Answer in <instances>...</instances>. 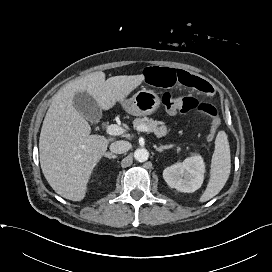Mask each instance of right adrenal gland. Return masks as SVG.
I'll return each instance as SVG.
<instances>
[{"label":"right adrenal gland","mask_w":272,"mask_h":272,"mask_svg":"<svg viewBox=\"0 0 272 272\" xmlns=\"http://www.w3.org/2000/svg\"><path fill=\"white\" fill-rule=\"evenodd\" d=\"M104 156L107 157V158H109V159H111V158H112V159L117 158L116 155H114V154H112V153H110V152L105 153Z\"/></svg>","instance_id":"2a0ac1e0"}]
</instances>
